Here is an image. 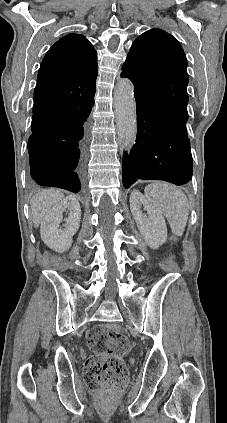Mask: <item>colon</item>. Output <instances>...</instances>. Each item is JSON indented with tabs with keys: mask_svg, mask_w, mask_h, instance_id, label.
Instances as JSON below:
<instances>
[{
	"mask_svg": "<svg viewBox=\"0 0 227 423\" xmlns=\"http://www.w3.org/2000/svg\"><path fill=\"white\" fill-rule=\"evenodd\" d=\"M87 344L92 354L85 363L86 385L107 396L120 393L128 381L123 361L130 348L127 336L114 326L102 324L88 333Z\"/></svg>",
	"mask_w": 227,
	"mask_h": 423,
	"instance_id": "5ec220e1",
	"label": "colon"
}]
</instances>
